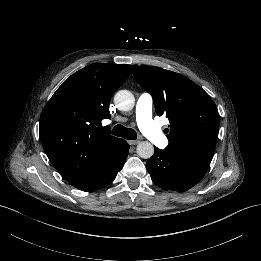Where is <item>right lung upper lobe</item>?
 I'll return each mask as SVG.
<instances>
[{
    "mask_svg": "<svg viewBox=\"0 0 261 261\" xmlns=\"http://www.w3.org/2000/svg\"><path fill=\"white\" fill-rule=\"evenodd\" d=\"M128 65L93 63L68 77L40 117V139L50 162L69 181L97 167L123 139L103 119L109 102L131 73Z\"/></svg>",
    "mask_w": 261,
    "mask_h": 261,
    "instance_id": "1",
    "label": "right lung upper lobe"
}]
</instances>
